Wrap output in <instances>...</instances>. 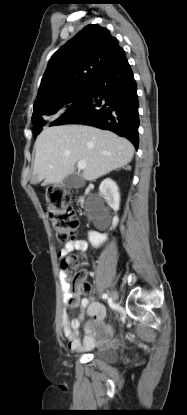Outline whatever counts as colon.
Segmentation results:
<instances>
[{"label":"colon","mask_w":187,"mask_h":415,"mask_svg":"<svg viewBox=\"0 0 187 415\" xmlns=\"http://www.w3.org/2000/svg\"><path fill=\"white\" fill-rule=\"evenodd\" d=\"M72 194L70 190L60 184H51L47 190V209L52 226L56 232L59 243H68L71 236L79 228L80 220L74 210L72 203ZM83 260L80 256L74 255L71 258H65L62 266L65 268H77L82 265ZM82 274L74 276L72 292L76 293L82 288L87 290L88 287L81 282Z\"/></svg>","instance_id":"1"}]
</instances>
